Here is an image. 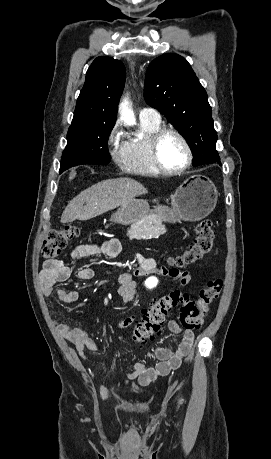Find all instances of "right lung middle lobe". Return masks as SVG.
I'll list each match as a JSON object with an SVG mask.
<instances>
[{
    "label": "right lung middle lobe",
    "instance_id": "dd1d6c3e",
    "mask_svg": "<svg viewBox=\"0 0 271 459\" xmlns=\"http://www.w3.org/2000/svg\"><path fill=\"white\" fill-rule=\"evenodd\" d=\"M115 121L112 117H74L67 133L60 173L80 164L109 163L107 141Z\"/></svg>",
    "mask_w": 271,
    "mask_h": 459
}]
</instances>
